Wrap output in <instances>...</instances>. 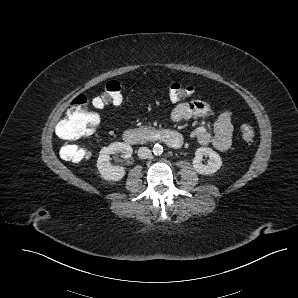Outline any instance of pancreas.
<instances>
[{"mask_svg": "<svg viewBox=\"0 0 298 298\" xmlns=\"http://www.w3.org/2000/svg\"><path fill=\"white\" fill-rule=\"evenodd\" d=\"M148 129H154L153 127H146V126H142L141 128L137 129L139 132L143 131V130H148Z\"/></svg>", "mask_w": 298, "mask_h": 298, "instance_id": "cf45deb5", "label": "pancreas"}]
</instances>
